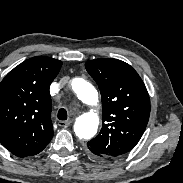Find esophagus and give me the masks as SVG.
Listing matches in <instances>:
<instances>
[{
    "label": "esophagus",
    "mask_w": 183,
    "mask_h": 183,
    "mask_svg": "<svg viewBox=\"0 0 183 183\" xmlns=\"http://www.w3.org/2000/svg\"><path fill=\"white\" fill-rule=\"evenodd\" d=\"M73 123V120L59 121L58 125L61 127H69Z\"/></svg>",
    "instance_id": "obj_1"
}]
</instances>
